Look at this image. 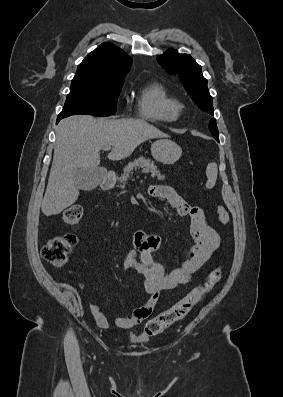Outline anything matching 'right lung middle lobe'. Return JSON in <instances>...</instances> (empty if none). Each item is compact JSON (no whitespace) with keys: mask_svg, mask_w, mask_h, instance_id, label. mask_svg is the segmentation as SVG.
Wrapping results in <instances>:
<instances>
[{"mask_svg":"<svg viewBox=\"0 0 283 397\" xmlns=\"http://www.w3.org/2000/svg\"><path fill=\"white\" fill-rule=\"evenodd\" d=\"M123 83L124 79L107 81L75 75L70 93L58 118L76 114L97 116L114 114Z\"/></svg>","mask_w":283,"mask_h":397,"instance_id":"1","label":"right lung middle lobe"}]
</instances>
